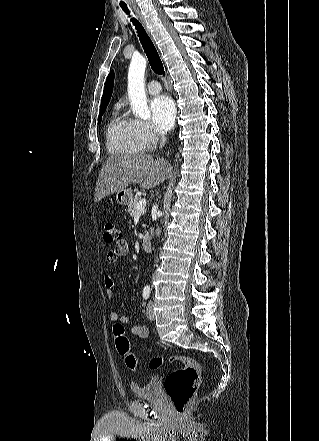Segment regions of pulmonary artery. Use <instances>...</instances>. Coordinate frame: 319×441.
<instances>
[{
  "instance_id": "obj_1",
  "label": "pulmonary artery",
  "mask_w": 319,
  "mask_h": 441,
  "mask_svg": "<svg viewBox=\"0 0 319 441\" xmlns=\"http://www.w3.org/2000/svg\"><path fill=\"white\" fill-rule=\"evenodd\" d=\"M146 90L149 94L155 95L160 92L161 87L157 81L153 80L148 83Z\"/></svg>"
}]
</instances>
